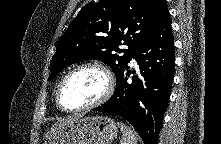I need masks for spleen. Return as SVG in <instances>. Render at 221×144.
Here are the masks:
<instances>
[{"label":"spleen","instance_id":"3e777b00","mask_svg":"<svg viewBox=\"0 0 221 144\" xmlns=\"http://www.w3.org/2000/svg\"><path fill=\"white\" fill-rule=\"evenodd\" d=\"M118 126L122 131V139L120 144H137L136 134L125 124L118 122Z\"/></svg>","mask_w":221,"mask_h":144}]
</instances>
